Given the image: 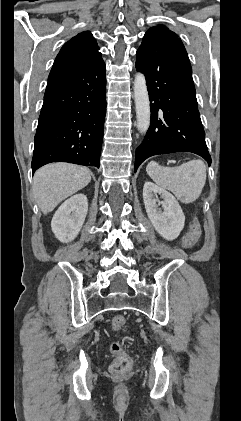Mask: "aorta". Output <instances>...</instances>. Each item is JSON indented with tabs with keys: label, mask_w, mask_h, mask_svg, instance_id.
Wrapping results in <instances>:
<instances>
[{
	"label": "aorta",
	"mask_w": 241,
	"mask_h": 421,
	"mask_svg": "<svg viewBox=\"0 0 241 421\" xmlns=\"http://www.w3.org/2000/svg\"><path fill=\"white\" fill-rule=\"evenodd\" d=\"M134 101L137 129L141 134H145L150 125V101L146 86V79L142 73H137L135 75Z\"/></svg>",
	"instance_id": "762f6f07"
}]
</instances>
